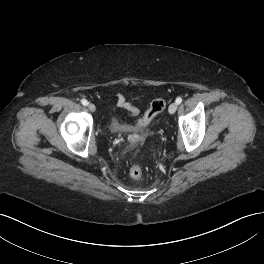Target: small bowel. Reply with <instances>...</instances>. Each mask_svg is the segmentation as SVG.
<instances>
[{
  "mask_svg": "<svg viewBox=\"0 0 264 264\" xmlns=\"http://www.w3.org/2000/svg\"><path fill=\"white\" fill-rule=\"evenodd\" d=\"M135 99L139 100L140 97H136ZM117 106L128 112L130 115H137L139 113V109L131 103L127 102L122 94H119L117 96Z\"/></svg>",
  "mask_w": 264,
  "mask_h": 264,
  "instance_id": "c3829d8e",
  "label": "small bowel"
}]
</instances>
